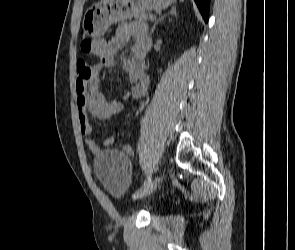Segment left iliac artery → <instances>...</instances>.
Segmentation results:
<instances>
[{
  "label": "left iliac artery",
  "instance_id": "44dca946",
  "mask_svg": "<svg viewBox=\"0 0 295 250\" xmlns=\"http://www.w3.org/2000/svg\"><path fill=\"white\" fill-rule=\"evenodd\" d=\"M151 182V174L148 175L147 179L145 180L144 184L134 192L133 194V198H137L141 192L145 189L146 186H148V184Z\"/></svg>",
  "mask_w": 295,
  "mask_h": 250
}]
</instances>
